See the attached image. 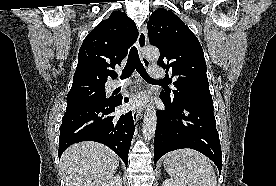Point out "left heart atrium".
<instances>
[{
  "label": "left heart atrium",
  "mask_w": 276,
  "mask_h": 186,
  "mask_svg": "<svg viewBox=\"0 0 276 186\" xmlns=\"http://www.w3.org/2000/svg\"><path fill=\"white\" fill-rule=\"evenodd\" d=\"M144 104V97L143 96H136L132 99L130 106L133 108L140 107Z\"/></svg>",
  "instance_id": "39dd6f15"
}]
</instances>
